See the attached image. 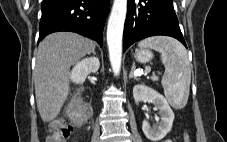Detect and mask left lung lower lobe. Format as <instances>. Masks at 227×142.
I'll return each mask as SVG.
<instances>
[{
  "label": "left lung lower lobe",
  "mask_w": 227,
  "mask_h": 142,
  "mask_svg": "<svg viewBox=\"0 0 227 142\" xmlns=\"http://www.w3.org/2000/svg\"><path fill=\"white\" fill-rule=\"evenodd\" d=\"M154 35L174 37L186 46L174 12L173 0H128L123 51L133 43Z\"/></svg>",
  "instance_id": "obj_1"
}]
</instances>
